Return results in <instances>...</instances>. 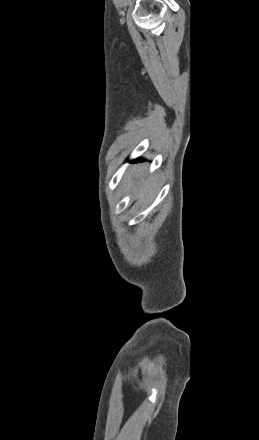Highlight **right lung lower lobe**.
<instances>
[{"label": "right lung lower lobe", "instance_id": "right-lung-lower-lobe-1", "mask_svg": "<svg viewBox=\"0 0 259 440\" xmlns=\"http://www.w3.org/2000/svg\"><path fill=\"white\" fill-rule=\"evenodd\" d=\"M141 160L138 158V159H136L134 162H140Z\"/></svg>", "mask_w": 259, "mask_h": 440}]
</instances>
